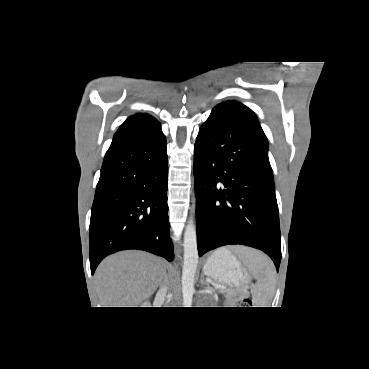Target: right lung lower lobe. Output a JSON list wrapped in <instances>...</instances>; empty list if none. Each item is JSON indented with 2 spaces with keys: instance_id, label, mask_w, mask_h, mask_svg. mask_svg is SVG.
Masks as SVG:
<instances>
[{
  "instance_id": "1",
  "label": "right lung lower lobe",
  "mask_w": 369,
  "mask_h": 369,
  "mask_svg": "<svg viewBox=\"0 0 369 369\" xmlns=\"http://www.w3.org/2000/svg\"><path fill=\"white\" fill-rule=\"evenodd\" d=\"M167 143L161 129L111 146L90 220V266L125 249L173 259L167 205Z\"/></svg>"
}]
</instances>
